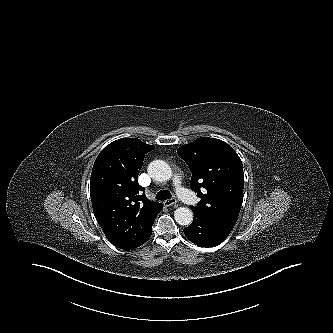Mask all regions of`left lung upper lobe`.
<instances>
[{
  "label": "left lung upper lobe",
  "mask_w": 333,
  "mask_h": 333,
  "mask_svg": "<svg viewBox=\"0 0 333 333\" xmlns=\"http://www.w3.org/2000/svg\"><path fill=\"white\" fill-rule=\"evenodd\" d=\"M177 153L192 172L191 189L201 198L191 209L234 227L244 188L243 166L238 154L227 143L208 137L181 146Z\"/></svg>",
  "instance_id": "5c2ea615"
}]
</instances>
